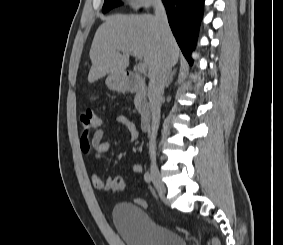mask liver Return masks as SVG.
I'll return each mask as SVG.
<instances>
[{
    "mask_svg": "<svg viewBox=\"0 0 283 245\" xmlns=\"http://www.w3.org/2000/svg\"><path fill=\"white\" fill-rule=\"evenodd\" d=\"M129 51L138 53L143 59L149 78L164 57L172 67L180 56L172 33L162 36L156 16L112 15L95 33L89 52L92 66L88 81L95 82L106 74L122 76L129 66Z\"/></svg>",
    "mask_w": 283,
    "mask_h": 245,
    "instance_id": "1",
    "label": "liver"
}]
</instances>
